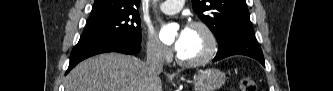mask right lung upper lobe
Returning <instances> with one entry per match:
<instances>
[{
	"label": "right lung upper lobe",
	"instance_id": "1",
	"mask_svg": "<svg viewBox=\"0 0 333 91\" xmlns=\"http://www.w3.org/2000/svg\"><path fill=\"white\" fill-rule=\"evenodd\" d=\"M139 4L140 0H95L91 18L136 10Z\"/></svg>",
	"mask_w": 333,
	"mask_h": 91
}]
</instances>
